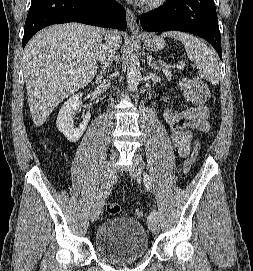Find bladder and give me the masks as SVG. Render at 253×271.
I'll use <instances>...</instances> for the list:
<instances>
[{
  "label": "bladder",
  "instance_id": "obj_1",
  "mask_svg": "<svg viewBox=\"0 0 253 271\" xmlns=\"http://www.w3.org/2000/svg\"><path fill=\"white\" fill-rule=\"evenodd\" d=\"M96 249L110 261L125 263L140 259L148 250L149 239L144 226L130 218H112L95 233Z\"/></svg>",
  "mask_w": 253,
  "mask_h": 271
}]
</instances>
